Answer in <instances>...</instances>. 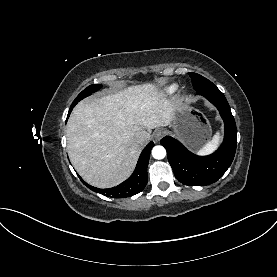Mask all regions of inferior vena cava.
Here are the masks:
<instances>
[{
  "mask_svg": "<svg viewBox=\"0 0 277 277\" xmlns=\"http://www.w3.org/2000/svg\"><path fill=\"white\" fill-rule=\"evenodd\" d=\"M150 138V134L144 130L135 133V140L139 144H144Z\"/></svg>",
  "mask_w": 277,
  "mask_h": 277,
  "instance_id": "obj_1",
  "label": "inferior vena cava"
}]
</instances>
